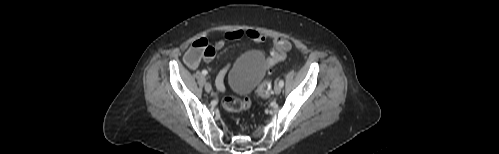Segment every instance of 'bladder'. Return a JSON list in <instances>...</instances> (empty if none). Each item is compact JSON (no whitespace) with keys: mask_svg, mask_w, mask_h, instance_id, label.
<instances>
[{"mask_svg":"<svg viewBox=\"0 0 499 154\" xmlns=\"http://www.w3.org/2000/svg\"><path fill=\"white\" fill-rule=\"evenodd\" d=\"M267 72L264 55L259 50L243 53L228 74L227 87L237 95H248L261 83Z\"/></svg>","mask_w":499,"mask_h":154,"instance_id":"bladder-1","label":"bladder"}]
</instances>
